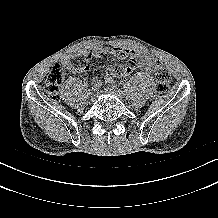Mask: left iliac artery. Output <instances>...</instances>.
Segmentation results:
<instances>
[{"label": "left iliac artery", "instance_id": "44dca946", "mask_svg": "<svg viewBox=\"0 0 218 218\" xmlns=\"http://www.w3.org/2000/svg\"><path fill=\"white\" fill-rule=\"evenodd\" d=\"M119 84L116 82L115 84H114V86L116 87V88H118L117 86H118ZM122 93L125 91L123 88L120 90Z\"/></svg>", "mask_w": 218, "mask_h": 218}]
</instances>
